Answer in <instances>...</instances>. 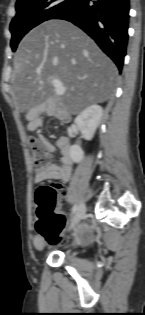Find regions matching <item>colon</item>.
Returning a JSON list of instances; mask_svg holds the SVG:
<instances>
[{
	"instance_id": "colon-1",
	"label": "colon",
	"mask_w": 145,
	"mask_h": 315,
	"mask_svg": "<svg viewBox=\"0 0 145 315\" xmlns=\"http://www.w3.org/2000/svg\"><path fill=\"white\" fill-rule=\"evenodd\" d=\"M28 142L34 169L36 172L45 169L50 164L51 156L44 140L32 136ZM58 189V185H44L35 192L36 230L50 244L58 242L59 234L66 224L65 215L58 210Z\"/></svg>"
}]
</instances>
